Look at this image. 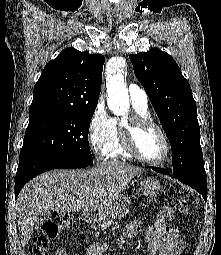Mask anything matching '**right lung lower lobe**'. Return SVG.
<instances>
[{
  "label": "right lung lower lobe",
  "mask_w": 221,
  "mask_h": 255,
  "mask_svg": "<svg viewBox=\"0 0 221 255\" xmlns=\"http://www.w3.org/2000/svg\"><path fill=\"white\" fill-rule=\"evenodd\" d=\"M89 164L78 163L60 159L27 156L20 159L16 179H15V197L17 198L22 187L35 176L52 169L60 168H84Z\"/></svg>",
  "instance_id": "1"
}]
</instances>
